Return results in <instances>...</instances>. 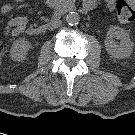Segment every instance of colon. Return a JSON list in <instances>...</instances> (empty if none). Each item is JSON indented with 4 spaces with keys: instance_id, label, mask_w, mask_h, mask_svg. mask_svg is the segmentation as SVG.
I'll return each mask as SVG.
<instances>
[{
    "instance_id": "5ec220e1",
    "label": "colon",
    "mask_w": 135,
    "mask_h": 135,
    "mask_svg": "<svg viewBox=\"0 0 135 135\" xmlns=\"http://www.w3.org/2000/svg\"><path fill=\"white\" fill-rule=\"evenodd\" d=\"M117 17L121 23L135 22V9L125 0H118L116 5ZM2 39L0 38V57L3 55Z\"/></svg>"
}]
</instances>
